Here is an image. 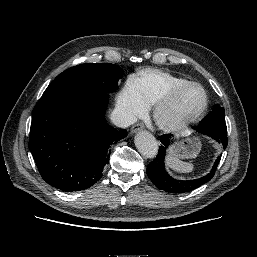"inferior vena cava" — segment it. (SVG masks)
Returning <instances> with one entry per match:
<instances>
[{
  "label": "inferior vena cava",
  "mask_w": 257,
  "mask_h": 257,
  "mask_svg": "<svg viewBox=\"0 0 257 257\" xmlns=\"http://www.w3.org/2000/svg\"><path fill=\"white\" fill-rule=\"evenodd\" d=\"M112 122L121 128L129 127L137 121V117L128 109L116 106L111 114Z\"/></svg>",
  "instance_id": "obj_1"
}]
</instances>
